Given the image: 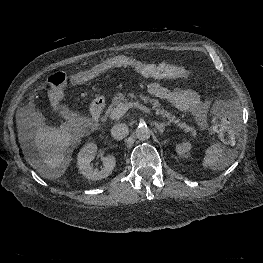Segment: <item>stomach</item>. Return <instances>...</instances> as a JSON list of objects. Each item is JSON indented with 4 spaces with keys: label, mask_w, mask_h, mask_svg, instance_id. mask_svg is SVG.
<instances>
[{
    "label": "stomach",
    "mask_w": 263,
    "mask_h": 263,
    "mask_svg": "<svg viewBox=\"0 0 263 263\" xmlns=\"http://www.w3.org/2000/svg\"><path fill=\"white\" fill-rule=\"evenodd\" d=\"M97 98H100V99H101V98H102V96H99V95H98V96H97Z\"/></svg>",
    "instance_id": "0dacf381"
}]
</instances>
